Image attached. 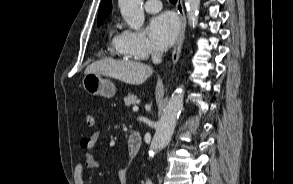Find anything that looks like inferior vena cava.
Returning <instances> with one entry per match:
<instances>
[{"label":"inferior vena cava","mask_w":293,"mask_h":184,"mask_svg":"<svg viewBox=\"0 0 293 184\" xmlns=\"http://www.w3.org/2000/svg\"><path fill=\"white\" fill-rule=\"evenodd\" d=\"M151 55L153 63H160L162 61V51L160 48L154 46Z\"/></svg>","instance_id":"inferior-vena-cava-1"}]
</instances>
